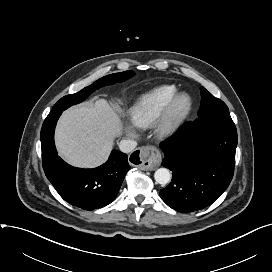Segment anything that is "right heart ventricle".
Masks as SVG:
<instances>
[{
  "label": "right heart ventricle",
  "instance_id": "1",
  "mask_svg": "<svg viewBox=\"0 0 272 272\" xmlns=\"http://www.w3.org/2000/svg\"><path fill=\"white\" fill-rule=\"evenodd\" d=\"M178 93L174 85H161L140 96L129 109L134 126L147 128L163 114L172 98Z\"/></svg>",
  "mask_w": 272,
  "mask_h": 272
}]
</instances>
